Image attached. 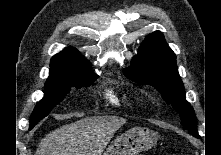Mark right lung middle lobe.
Returning <instances> with one entry per match:
<instances>
[{
	"mask_svg": "<svg viewBox=\"0 0 221 155\" xmlns=\"http://www.w3.org/2000/svg\"><path fill=\"white\" fill-rule=\"evenodd\" d=\"M97 76L90 69L74 70L61 74H50L45 83L44 97L35 106L30 117V128L32 129L41 119L64 99L71 87L90 86Z\"/></svg>",
	"mask_w": 221,
	"mask_h": 155,
	"instance_id": "right-lung-middle-lobe-1",
	"label": "right lung middle lobe"
}]
</instances>
